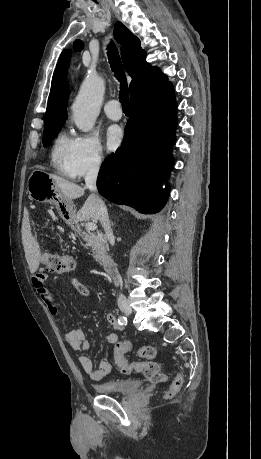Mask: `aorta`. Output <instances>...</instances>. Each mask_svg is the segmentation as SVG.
<instances>
[{
  "label": "aorta",
  "instance_id": "obj_1",
  "mask_svg": "<svg viewBox=\"0 0 261 459\" xmlns=\"http://www.w3.org/2000/svg\"><path fill=\"white\" fill-rule=\"evenodd\" d=\"M105 91L104 80L97 75H88L84 80L72 106L73 120L83 132H89L99 115Z\"/></svg>",
  "mask_w": 261,
  "mask_h": 459
}]
</instances>
